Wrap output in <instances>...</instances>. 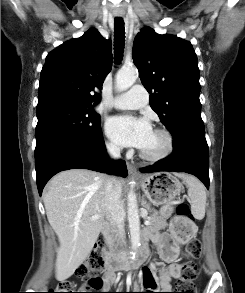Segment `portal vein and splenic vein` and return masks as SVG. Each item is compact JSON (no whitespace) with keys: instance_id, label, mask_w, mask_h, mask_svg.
<instances>
[{"instance_id":"1","label":"portal vein and splenic vein","mask_w":245,"mask_h":293,"mask_svg":"<svg viewBox=\"0 0 245 293\" xmlns=\"http://www.w3.org/2000/svg\"><path fill=\"white\" fill-rule=\"evenodd\" d=\"M92 218H93V219H96V218H98V215H95V216H93ZM145 224H146V225H149V224H150V221H149V220H146V221H145Z\"/></svg>"}]
</instances>
